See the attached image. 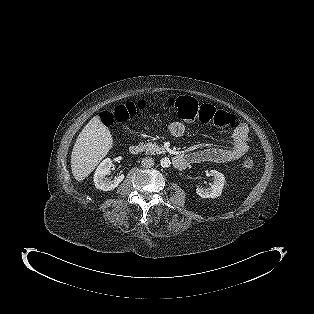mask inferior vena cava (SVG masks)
Returning a JSON list of instances; mask_svg holds the SVG:
<instances>
[{
  "label": "inferior vena cava",
  "instance_id": "602c4592",
  "mask_svg": "<svg viewBox=\"0 0 314 314\" xmlns=\"http://www.w3.org/2000/svg\"><path fill=\"white\" fill-rule=\"evenodd\" d=\"M141 165L144 168H151L154 166V160L151 157H145L142 159Z\"/></svg>",
  "mask_w": 314,
  "mask_h": 314
}]
</instances>
